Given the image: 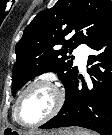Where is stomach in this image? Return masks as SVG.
<instances>
[{"mask_svg":"<svg viewBox=\"0 0 112 135\" xmlns=\"http://www.w3.org/2000/svg\"><path fill=\"white\" fill-rule=\"evenodd\" d=\"M78 130L75 129H65V130H60L58 132H30L27 134H22V132H19L17 130H14L13 128H4V130L0 133L1 135H79Z\"/></svg>","mask_w":112,"mask_h":135,"instance_id":"1","label":"stomach"}]
</instances>
